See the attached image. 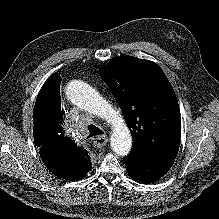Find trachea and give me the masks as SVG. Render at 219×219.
<instances>
[{
	"mask_svg": "<svg viewBox=\"0 0 219 219\" xmlns=\"http://www.w3.org/2000/svg\"><path fill=\"white\" fill-rule=\"evenodd\" d=\"M88 130H89V135L87 138L89 137H93V136H96V135H102L104 134V132L97 126L93 125V124H90L88 126Z\"/></svg>",
	"mask_w": 219,
	"mask_h": 219,
	"instance_id": "1",
	"label": "trachea"
}]
</instances>
